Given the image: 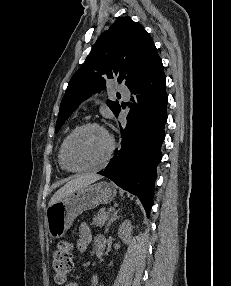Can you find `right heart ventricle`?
I'll list each match as a JSON object with an SVG mask.
<instances>
[{"mask_svg":"<svg viewBox=\"0 0 231 286\" xmlns=\"http://www.w3.org/2000/svg\"><path fill=\"white\" fill-rule=\"evenodd\" d=\"M63 144V143H62ZM61 149H62V145L60 147V150H59V154H58V160H59V164L61 165ZM62 166V165H61Z\"/></svg>","mask_w":231,"mask_h":286,"instance_id":"e07e8e85","label":"right heart ventricle"}]
</instances>
